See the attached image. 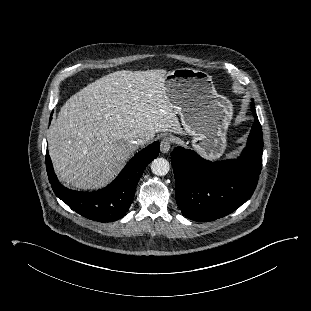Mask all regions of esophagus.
<instances>
[{
    "label": "esophagus",
    "mask_w": 311,
    "mask_h": 311,
    "mask_svg": "<svg viewBox=\"0 0 311 311\" xmlns=\"http://www.w3.org/2000/svg\"><path fill=\"white\" fill-rule=\"evenodd\" d=\"M171 144H172L171 138L169 137L163 138L160 143V148H161L162 153H168L170 151Z\"/></svg>",
    "instance_id": "1"
}]
</instances>
